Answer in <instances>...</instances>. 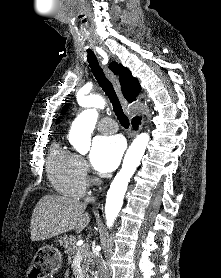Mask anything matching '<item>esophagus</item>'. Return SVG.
I'll list each match as a JSON object with an SVG mask.
<instances>
[{"label": "esophagus", "mask_w": 221, "mask_h": 278, "mask_svg": "<svg viewBox=\"0 0 221 278\" xmlns=\"http://www.w3.org/2000/svg\"><path fill=\"white\" fill-rule=\"evenodd\" d=\"M116 64L117 63H112L111 65H109V64L105 65L104 66V71H105V74H106L107 78L111 81V83H112V85H113V87H114V89H115V91H116V93H117V95H118V97L121 101V104H122L123 108L128 112V114H130V116H133V114L128 111L130 105L128 104L127 100L124 98V96L121 92L118 76H117L116 73H114L112 71V68L116 67Z\"/></svg>", "instance_id": "esophagus-1"}]
</instances>
